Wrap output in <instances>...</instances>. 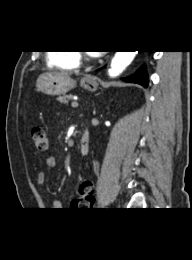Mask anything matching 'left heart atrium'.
I'll list each match as a JSON object with an SVG mask.
<instances>
[{
    "label": "left heart atrium",
    "mask_w": 192,
    "mask_h": 260,
    "mask_svg": "<svg viewBox=\"0 0 192 260\" xmlns=\"http://www.w3.org/2000/svg\"><path fill=\"white\" fill-rule=\"evenodd\" d=\"M94 54H99V53H97V52H94Z\"/></svg>",
    "instance_id": "39dd6f15"
}]
</instances>
